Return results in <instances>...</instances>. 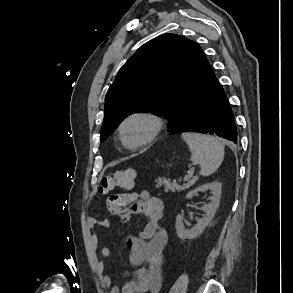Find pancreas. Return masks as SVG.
<instances>
[{"label":"pancreas","mask_w":293,"mask_h":293,"mask_svg":"<svg viewBox=\"0 0 293 293\" xmlns=\"http://www.w3.org/2000/svg\"><path fill=\"white\" fill-rule=\"evenodd\" d=\"M192 184L193 182H190L188 184L178 185L177 183H172L169 179H164V180L158 179V182H157L158 187L164 186L165 192L171 191L173 193L184 191L188 189Z\"/></svg>","instance_id":"obj_1"}]
</instances>
